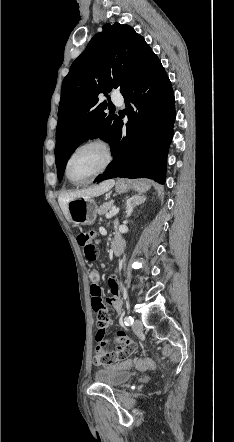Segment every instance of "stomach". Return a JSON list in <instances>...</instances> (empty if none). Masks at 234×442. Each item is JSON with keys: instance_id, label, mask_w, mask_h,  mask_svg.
<instances>
[{"instance_id": "obj_1", "label": "stomach", "mask_w": 234, "mask_h": 442, "mask_svg": "<svg viewBox=\"0 0 234 442\" xmlns=\"http://www.w3.org/2000/svg\"><path fill=\"white\" fill-rule=\"evenodd\" d=\"M150 188L146 181L130 183L126 180H118L115 189L118 193H125L130 189L137 192H146ZM97 205L92 199L76 198L68 203V212L71 222L76 225H91L97 215Z\"/></svg>"}]
</instances>
